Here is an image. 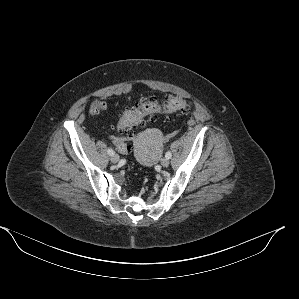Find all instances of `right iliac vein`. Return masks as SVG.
<instances>
[{"instance_id":"right-iliac-vein-1","label":"right iliac vein","mask_w":299,"mask_h":299,"mask_svg":"<svg viewBox=\"0 0 299 299\" xmlns=\"http://www.w3.org/2000/svg\"><path fill=\"white\" fill-rule=\"evenodd\" d=\"M110 160H111L112 163H118L119 162V156L117 154H113V155H111Z\"/></svg>"}]
</instances>
